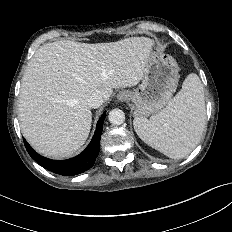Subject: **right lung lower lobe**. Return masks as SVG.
I'll list each match as a JSON object with an SVG mask.
<instances>
[{"instance_id":"1","label":"right lung lower lobe","mask_w":232,"mask_h":232,"mask_svg":"<svg viewBox=\"0 0 232 232\" xmlns=\"http://www.w3.org/2000/svg\"><path fill=\"white\" fill-rule=\"evenodd\" d=\"M106 112H104L98 120L95 134L87 146V148L78 156L63 160V161H56L45 158L38 153H36L32 147L23 139L25 147L29 153V155L42 167L45 169L59 174V175H76L82 172L87 171L90 169L98 157V153L100 150V138L103 128V122L105 119Z\"/></svg>"}]
</instances>
